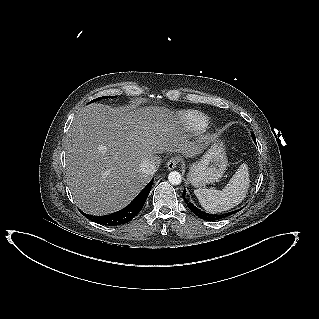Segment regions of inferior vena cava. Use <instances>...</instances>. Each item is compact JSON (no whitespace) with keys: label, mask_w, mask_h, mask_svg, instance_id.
Here are the masks:
<instances>
[{"label":"inferior vena cava","mask_w":319,"mask_h":319,"mask_svg":"<svg viewBox=\"0 0 319 319\" xmlns=\"http://www.w3.org/2000/svg\"><path fill=\"white\" fill-rule=\"evenodd\" d=\"M141 172L153 175L156 172V162L149 158H144L140 163Z\"/></svg>","instance_id":"602c4592"}]
</instances>
